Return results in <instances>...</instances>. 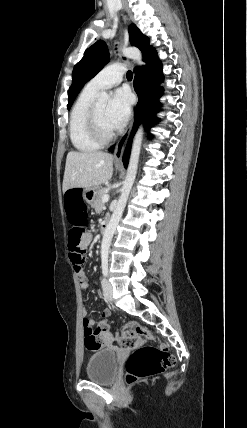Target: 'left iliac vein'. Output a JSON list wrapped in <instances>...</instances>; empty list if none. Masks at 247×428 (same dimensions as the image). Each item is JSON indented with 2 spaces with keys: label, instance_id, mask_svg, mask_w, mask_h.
<instances>
[{
  "label": "left iliac vein",
  "instance_id": "obj_1",
  "mask_svg": "<svg viewBox=\"0 0 247 428\" xmlns=\"http://www.w3.org/2000/svg\"><path fill=\"white\" fill-rule=\"evenodd\" d=\"M102 288H103V292H104L105 297L108 300L112 301L113 288H112V285L110 284V282L106 278H104L102 280Z\"/></svg>",
  "mask_w": 247,
  "mask_h": 428
}]
</instances>
